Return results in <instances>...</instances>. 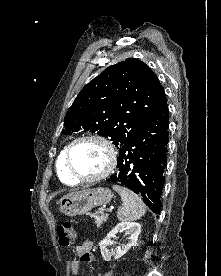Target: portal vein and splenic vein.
<instances>
[{
    "instance_id": "portal-vein-and-splenic-vein-1",
    "label": "portal vein and splenic vein",
    "mask_w": 221,
    "mask_h": 276,
    "mask_svg": "<svg viewBox=\"0 0 221 276\" xmlns=\"http://www.w3.org/2000/svg\"><path fill=\"white\" fill-rule=\"evenodd\" d=\"M107 211H108V212H112V209H111V208H109V209H107Z\"/></svg>"
}]
</instances>
